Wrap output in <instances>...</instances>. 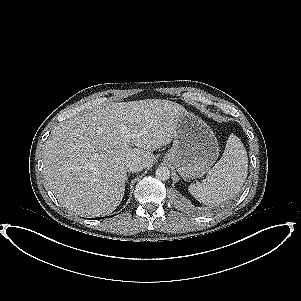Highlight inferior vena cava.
I'll return each instance as SVG.
<instances>
[{
  "label": "inferior vena cava",
  "mask_w": 301,
  "mask_h": 301,
  "mask_svg": "<svg viewBox=\"0 0 301 301\" xmlns=\"http://www.w3.org/2000/svg\"><path fill=\"white\" fill-rule=\"evenodd\" d=\"M126 169L128 172H139L144 169V166L137 162H130L126 165Z\"/></svg>",
  "instance_id": "1"
}]
</instances>
